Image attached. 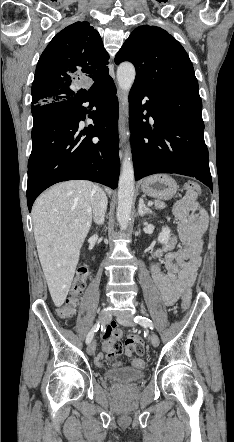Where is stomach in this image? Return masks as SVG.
<instances>
[{
	"mask_svg": "<svg viewBox=\"0 0 234 442\" xmlns=\"http://www.w3.org/2000/svg\"><path fill=\"white\" fill-rule=\"evenodd\" d=\"M143 193L158 200H170L176 194L178 185L167 174H156L145 178L141 182Z\"/></svg>",
	"mask_w": 234,
	"mask_h": 442,
	"instance_id": "stomach-1",
	"label": "stomach"
}]
</instances>
